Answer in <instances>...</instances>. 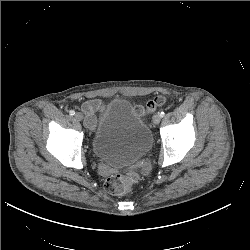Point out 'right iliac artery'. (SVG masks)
<instances>
[{
	"label": "right iliac artery",
	"mask_w": 250,
	"mask_h": 250,
	"mask_svg": "<svg viewBox=\"0 0 250 250\" xmlns=\"http://www.w3.org/2000/svg\"><path fill=\"white\" fill-rule=\"evenodd\" d=\"M69 114H70L71 116H73V115L75 114V111H74V110H70V111H69Z\"/></svg>",
	"instance_id": "obj_1"
}]
</instances>
